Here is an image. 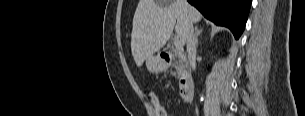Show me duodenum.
Here are the masks:
<instances>
[{"label":"duodenum","instance_id":"410a0bca","mask_svg":"<svg viewBox=\"0 0 305 116\" xmlns=\"http://www.w3.org/2000/svg\"><path fill=\"white\" fill-rule=\"evenodd\" d=\"M163 58L170 62L173 60V56L169 52H165L162 54ZM180 60L182 62H186V58L181 56ZM193 89H194V80L191 75L185 74L181 79L180 83V95L185 102L191 101L193 97Z\"/></svg>","mask_w":305,"mask_h":116}]
</instances>
